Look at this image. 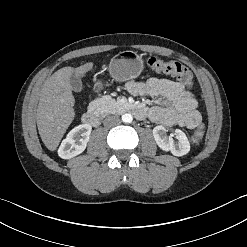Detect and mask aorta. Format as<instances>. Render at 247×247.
Listing matches in <instances>:
<instances>
[{
  "instance_id": "obj_1",
  "label": "aorta",
  "mask_w": 247,
  "mask_h": 247,
  "mask_svg": "<svg viewBox=\"0 0 247 247\" xmlns=\"http://www.w3.org/2000/svg\"><path fill=\"white\" fill-rule=\"evenodd\" d=\"M132 120H133V117H132V115L129 114V113H125V114L122 115V121H123L124 123H131Z\"/></svg>"
}]
</instances>
